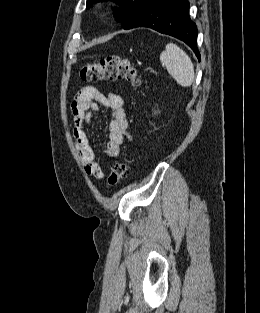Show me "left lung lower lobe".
Returning a JSON list of instances; mask_svg holds the SVG:
<instances>
[{
  "label": "left lung lower lobe",
  "mask_w": 260,
  "mask_h": 313,
  "mask_svg": "<svg viewBox=\"0 0 260 313\" xmlns=\"http://www.w3.org/2000/svg\"><path fill=\"white\" fill-rule=\"evenodd\" d=\"M187 0H152L126 29L149 27L185 42L200 60L197 27L188 17Z\"/></svg>",
  "instance_id": "obj_1"
}]
</instances>
